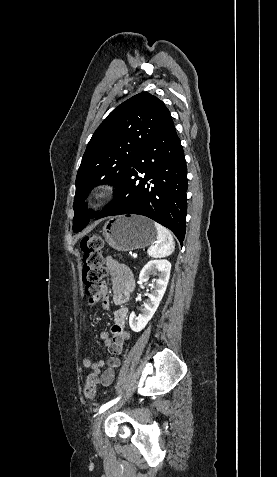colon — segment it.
Wrapping results in <instances>:
<instances>
[{
  "label": "colon",
  "mask_w": 277,
  "mask_h": 477,
  "mask_svg": "<svg viewBox=\"0 0 277 477\" xmlns=\"http://www.w3.org/2000/svg\"><path fill=\"white\" fill-rule=\"evenodd\" d=\"M80 248L83 253L82 280L87 295L90 296V300H94L100 295L102 280L106 274L102 257L104 241L98 235H87L80 241ZM96 391L97 377L91 374L84 388L85 397L88 400L94 399Z\"/></svg>",
  "instance_id": "1"
}]
</instances>
